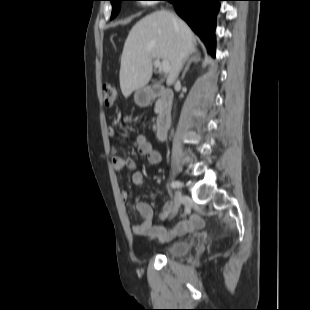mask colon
Wrapping results in <instances>:
<instances>
[{"instance_id": "5ec220e1", "label": "colon", "mask_w": 310, "mask_h": 310, "mask_svg": "<svg viewBox=\"0 0 310 310\" xmlns=\"http://www.w3.org/2000/svg\"><path fill=\"white\" fill-rule=\"evenodd\" d=\"M118 97V91L115 86L111 84H105L102 88L103 103L107 107H111L115 104Z\"/></svg>"}]
</instances>
